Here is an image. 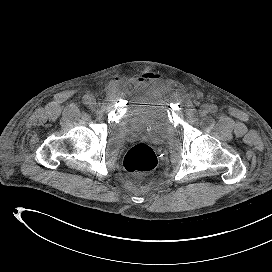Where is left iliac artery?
Here are the masks:
<instances>
[{
  "label": "left iliac artery",
  "mask_w": 272,
  "mask_h": 272,
  "mask_svg": "<svg viewBox=\"0 0 272 272\" xmlns=\"http://www.w3.org/2000/svg\"><path fill=\"white\" fill-rule=\"evenodd\" d=\"M217 110H218V108H217V106H216V105H211V106H210V112H211V113H213V114H214V113H216V112H217Z\"/></svg>",
  "instance_id": "obj_1"
}]
</instances>
